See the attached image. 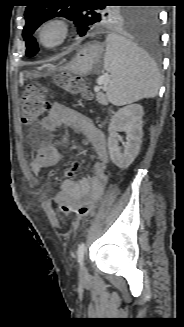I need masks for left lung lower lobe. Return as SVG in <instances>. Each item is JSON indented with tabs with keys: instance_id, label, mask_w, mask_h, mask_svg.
Returning <instances> with one entry per match:
<instances>
[{
	"instance_id": "0a47b994",
	"label": "left lung lower lobe",
	"mask_w": 184,
	"mask_h": 327,
	"mask_svg": "<svg viewBox=\"0 0 184 327\" xmlns=\"http://www.w3.org/2000/svg\"><path fill=\"white\" fill-rule=\"evenodd\" d=\"M138 47L153 56L158 55L159 45V17L155 10L144 9V14L135 29Z\"/></svg>"
}]
</instances>
